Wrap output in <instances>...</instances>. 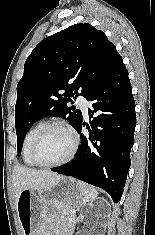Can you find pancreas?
I'll use <instances>...</instances> for the list:
<instances>
[{
	"label": "pancreas",
	"instance_id": "pancreas-1",
	"mask_svg": "<svg viewBox=\"0 0 155 235\" xmlns=\"http://www.w3.org/2000/svg\"><path fill=\"white\" fill-rule=\"evenodd\" d=\"M57 210L61 214L65 215L68 219H71L70 210H67V209H64V208H58Z\"/></svg>",
	"mask_w": 155,
	"mask_h": 235
}]
</instances>
